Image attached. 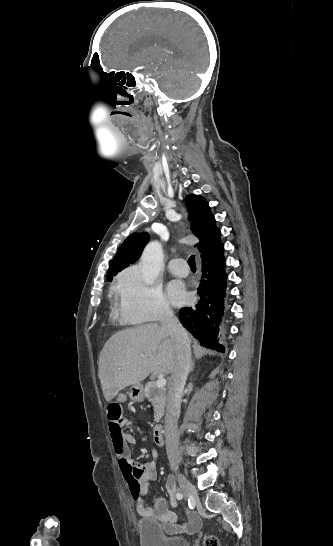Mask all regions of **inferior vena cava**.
I'll use <instances>...</instances> for the list:
<instances>
[{
	"mask_svg": "<svg viewBox=\"0 0 333 546\" xmlns=\"http://www.w3.org/2000/svg\"><path fill=\"white\" fill-rule=\"evenodd\" d=\"M161 331L175 342L177 362L168 386L167 409L165 416L166 451L170 466L179 464L177 421L180 415L182 392L191 369L190 340L186 330L179 323L170 308H165L161 316Z\"/></svg>",
	"mask_w": 333,
	"mask_h": 546,
	"instance_id": "inferior-vena-cava-1",
	"label": "inferior vena cava"
}]
</instances>
